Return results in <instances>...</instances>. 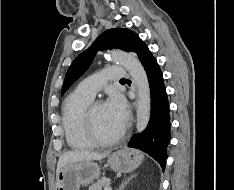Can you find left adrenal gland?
I'll return each mask as SVG.
<instances>
[{
    "mask_svg": "<svg viewBox=\"0 0 234 190\" xmlns=\"http://www.w3.org/2000/svg\"><path fill=\"white\" fill-rule=\"evenodd\" d=\"M134 177H136V174L134 175H131L130 177H128L127 179H125L122 184L120 185L119 189L118 190H123L125 188V186L129 183V181L131 179H133Z\"/></svg>",
    "mask_w": 234,
    "mask_h": 190,
    "instance_id": "obj_1",
    "label": "left adrenal gland"
}]
</instances>
